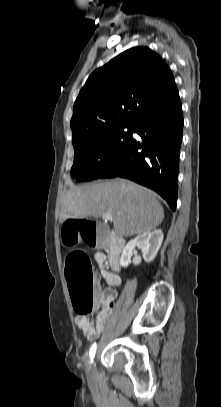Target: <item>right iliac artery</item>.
I'll return each mask as SVG.
<instances>
[{
  "label": "right iliac artery",
  "mask_w": 221,
  "mask_h": 407,
  "mask_svg": "<svg viewBox=\"0 0 221 407\" xmlns=\"http://www.w3.org/2000/svg\"><path fill=\"white\" fill-rule=\"evenodd\" d=\"M96 348H97L96 343H94V344L91 346V348H90L89 356H90V361H91V362L93 361V358H94V356H95Z\"/></svg>",
  "instance_id": "1"
}]
</instances>
